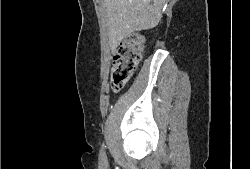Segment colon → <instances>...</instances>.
Segmentation results:
<instances>
[{"mask_svg": "<svg viewBox=\"0 0 250 169\" xmlns=\"http://www.w3.org/2000/svg\"><path fill=\"white\" fill-rule=\"evenodd\" d=\"M139 34H128V38H121L113 57L112 70L110 72V85L113 91L122 90L128 83L133 73L137 70L143 43H149V38L140 40Z\"/></svg>", "mask_w": 250, "mask_h": 169, "instance_id": "1", "label": "colon"}]
</instances>
